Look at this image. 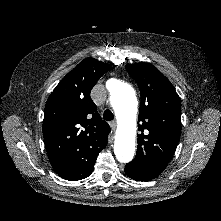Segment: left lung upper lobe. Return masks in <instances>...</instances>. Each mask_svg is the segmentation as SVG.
<instances>
[{
	"mask_svg": "<svg viewBox=\"0 0 221 221\" xmlns=\"http://www.w3.org/2000/svg\"><path fill=\"white\" fill-rule=\"evenodd\" d=\"M141 94L135 158L125 168L160 174L176 150L181 134V101L170 81L153 65H126Z\"/></svg>",
	"mask_w": 221,
	"mask_h": 221,
	"instance_id": "left-lung-upper-lobe-1",
	"label": "left lung upper lobe"
}]
</instances>
